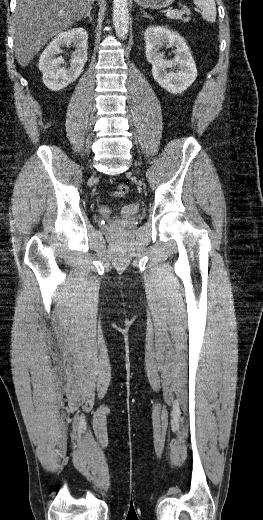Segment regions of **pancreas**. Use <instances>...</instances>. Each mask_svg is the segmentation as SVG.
Instances as JSON below:
<instances>
[{"instance_id": "pancreas-1", "label": "pancreas", "mask_w": 263, "mask_h": 520, "mask_svg": "<svg viewBox=\"0 0 263 520\" xmlns=\"http://www.w3.org/2000/svg\"><path fill=\"white\" fill-rule=\"evenodd\" d=\"M185 13L188 15V17H183V14H185ZM189 15H190V10L184 9V10H180V11H173V13L168 17L170 19L181 20L184 23H187L190 21Z\"/></svg>"}]
</instances>
